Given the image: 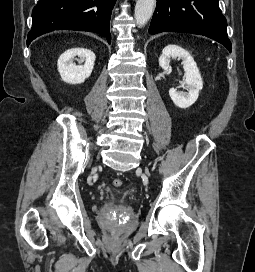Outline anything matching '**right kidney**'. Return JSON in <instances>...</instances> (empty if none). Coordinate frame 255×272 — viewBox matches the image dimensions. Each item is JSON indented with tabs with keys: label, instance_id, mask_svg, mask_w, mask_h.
<instances>
[{
	"label": "right kidney",
	"instance_id": "right-kidney-1",
	"mask_svg": "<svg viewBox=\"0 0 255 272\" xmlns=\"http://www.w3.org/2000/svg\"><path fill=\"white\" fill-rule=\"evenodd\" d=\"M75 57H78V63H73ZM95 54L86 48H71L60 55L58 59V71L61 78L66 83H83L90 75L94 67Z\"/></svg>",
	"mask_w": 255,
	"mask_h": 272
}]
</instances>
